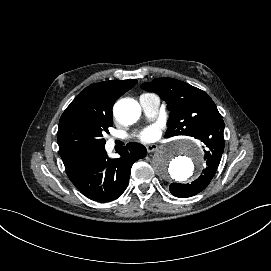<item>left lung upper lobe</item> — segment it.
I'll list each match as a JSON object with an SVG mask.
<instances>
[{
	"label": "left lung upper lobe",
	"instance_id": "left-lung-upper-lobe-1",
	"mask_svg": "<svg viewBox=\"0 0 271 271\" xmlns=\"http://www.w3.org/2000/svg\"><path fill=\"white\" fill-rule=\"evenodd\" d=\"M168 104L170 117L165 137L187 135L205 143L225 144L224 122L204 91L173 78H156L142 84Z\"/></svg>",
	"mask_w": 271,
	"mask_h": 271
}]
</instances>
